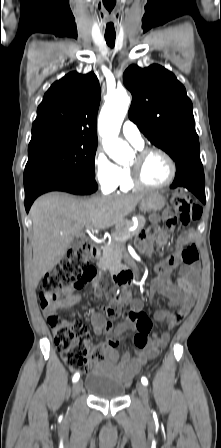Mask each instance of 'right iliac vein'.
<instances>
[{
  "label": "right iliac vein",
  "instance_id": "right-iliac-vein-1",
  "mask_svg": "<svg viewBox=\"0 0 221 448\" xmlns=\"http://www.w3.org/2000/svg\"><path fill=\"white\" fill-rule=\"evenodd\" d=\"M82 387H83V384H82L81 380L75 382V384L73 386V396H77L81 392Z\"/></svg>",
  "mask_w": 221,
  "mask_h": 448
}]
</instances>
